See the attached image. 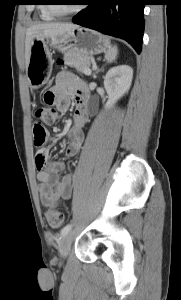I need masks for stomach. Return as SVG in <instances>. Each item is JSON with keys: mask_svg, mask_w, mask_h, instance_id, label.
Returning <instances> with one entry per match:
<instances>
[{"mask_svg": "<svg viewBox=\"0 0 181 300\" xmlns=\"http://www.w3.org/2000/svg\"><path fill=\"white\" fill-rule=\"evenodd\" d=\"M110 47L107 36L83 27L71 29L54 39L34 38L27 67L28 80L34 88H39L48 81L52 63L51 49L61 52L73 50L90 58L107 52Z\"/></svg>", "mask_w": 181, "mask_h": 300, "instance_id": "1", "label": "stomach"}]
</instances>
